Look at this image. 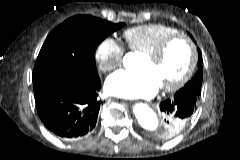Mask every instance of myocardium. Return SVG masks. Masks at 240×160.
<instances>
[{"mask_svg": "<svg viewBox=\"0 0 240 160\" xmlns=\"http://www.w3.org/2000/svg\"><path fill=\"white\" fill-rule=\"evenodd\" d=\"M176 41H183L188 45L190 50V61L184 74L175 83L172 85L161 86L162 91L169 93L176 92L184 87L195 72L198 62V51L194 41L185 34L177 33L165 38L154 51L146 54V57L155 62H159L165 56L169 46Z\"/></svg>", "mask_w": 240, "mask_h": 160, "instance_id": "obj_1", "label": "myocardium"}]
</instances>
